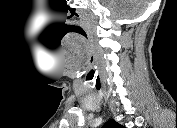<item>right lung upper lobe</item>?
<instances>
[{
  "mask_svg": "<svg viewBox=\"0 0 177 128\" xmlns=\"http://www.w3.org/2000/svg\"><path fill=\"white\" fill-rule=\"evenodd\" d=\"M105 128H123L122 125H120L119 123H117L115 120H108L105 124H104Z\"/></svg>",
  "mask_w": 177,
  "mask_h": 128,
  "instance_id": "1",
  "label": "right lung upper lobe"
}]
</instances>
